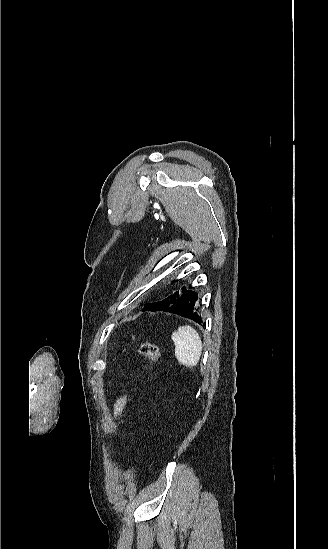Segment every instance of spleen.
I'll return each instance as SVG.
<instances>
[{
    "instance_id": "spleen-1",
    "label": "spleen",
    "mask_w": 328,
    "mask_h": 549,
    "mask_svg": "<svg viewBox=\"0 0 328 549\" xmlns=\"http://www.w3.org/2000/svg\"><path fill=\"white\" fill-rule=\"evenodd\" d=\"M171 339L175 345V357L180 365L196 367L203 349L197 331L189 325H184L172 333Z\"/></svg>"
}]
</instances>
